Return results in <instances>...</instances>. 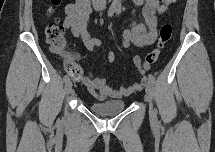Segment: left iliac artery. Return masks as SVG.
<instances>
[{"label":"left iliac artery","instance_id":"left-iliac-artery-1","mask_svg":"<svg viewBox=\"0 0 215 152\" xmlns=\"http://www.w3.org/2000/svg\"><path fill=\"white\" fill-rule=\"evenodd\" d=\"M116 12H117V14H119V13L121 12V9L118 8V9L116 10ZM148 79H149V81H150L152 84L155 83V77H154L152 74H149V75H148Z\"/></svg>","mask_w":215,"mask_h":152}]
</instances>
